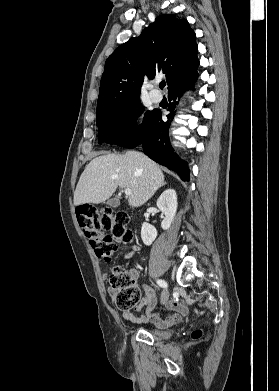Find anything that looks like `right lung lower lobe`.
<instances>
[{"label":"right lung lower lobe","mask_w":279,"mask_h":391,"mask_svg":"<svg viewBox=\"0 0 279 391\" xmlns=\"http://www.w3.org/2000/svg\"><path fill=\"white\" fill-rule=\"evenodd\" d=\"M198 73L194 72L188 77L184 78L168 93L170 114L167 115L168 121H163L161 112L153 110L152 113L143 120V123L127 134L119 138L114 144L134 148L142 144L144 153L151 159L160 163L171 170L176 171L183 181H189V169L187 163L182 161L174 153L168 138V129L170 121L174 117V108L177 104V98L186 90L193 87L197 80Z\"/></svg>","instance_id":"right-lung-lower-lobe-1"}]
</instances>
